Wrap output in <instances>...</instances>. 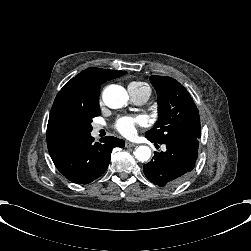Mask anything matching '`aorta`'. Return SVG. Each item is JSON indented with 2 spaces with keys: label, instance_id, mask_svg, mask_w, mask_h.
I'll list each match as a JSON object with an SVG mask.
<instances>
[{
  "label": "aorta",
  "instance_id": "762f6f07",
  "mask_svg": "<svg viewBox=\"0 0 251 251\" xmlns=\"http://www.w3.org/2000/svg\"><path fill=\"white\" fill-rule=\"evenodd\" d=\"M103 100L108 107L118 109L127 104L129 96L122 86L109 85L103 91ZM134 156L138 161L146 162L151 157V149L148 146H139L135 150Z\"/></svg>",
  "mask_w": 251,
  "mask_h": 251
}]
</instances>
